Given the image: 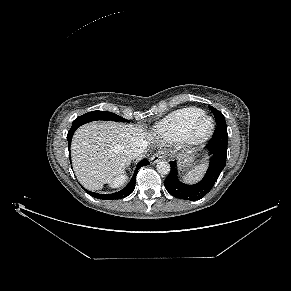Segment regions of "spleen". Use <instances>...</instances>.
I'll list each match as a JSON object with an SVG mask.
<instances>
[{
	"label": "spleen",
	"instance_id": "spleen-1",
	"mask_svg": "<svg viewBox=\"0 0 291 291\" xmlns=\"http://www.w3.org/2000/svg\"><path fill=\"white\" fill-rule=\"evenodd\" d=\"M207 167H208L207 162L196 165L193 169H191L184 175L183 180L189 184L199 181L206 172Z\"/></svg>",
	"mask_w": 291,
	"mask_h": 291
}]
</instances>
